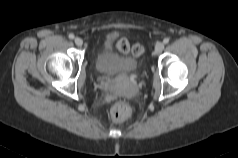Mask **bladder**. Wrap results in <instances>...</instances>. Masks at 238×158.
<instances>
[{"instance_id": "31cf9c89", "label": "bladder", "mask_w": 238, "mask_h": 158, "mask_svg": "<svg viewBox=\"0 0 238 158\" xmlns=\"http://www.w3.org/2000/svg\"><path fill=\"white\" fill-rule=\"evenodd\" d=\"M115 37L107 35L101 42L95 57L97 71L105 76L130 73L138 68V61L131 56H122L114 51Z\"/></svg>"}]
</instances>
